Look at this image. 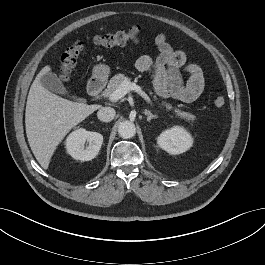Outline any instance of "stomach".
I'll return each instance as SVG.
<instances>
[{
  "mask_svg": "<svg viewBox=\"0 0 265 265\" xmlns=\"http://www.w3.org/2000/svg\"><path fill=\"white\" fill-rule=\"evenodd\" d=\"M110 74V67L105 64L94 66L92 76L96 81H105Z\"/></svg>",
  "mask_w": 265,
  "mask_h": 265,
  "instance_id": "0dacf381",
  "label": "stomach"
}]
</instances>
